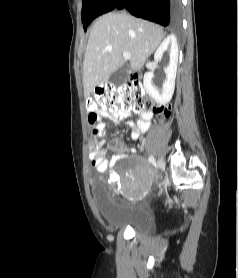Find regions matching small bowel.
Here are the masks:
<instances>
[{
    "label": "small bowel",
    "mask_w": 238,
    "mask_h": 278,
    "mask_svg": "<svg viewBox=\"0 0 238 278\" xmlns=\"http://www.w3.org/2000/svg\"><path fill=\"white\" fill-rule=\"evenodd\" d=\"M101 115L111 120H125L131 129V138L134 140L139 139L142 134H145L151 125L150 112L140 114L137 120H130V112L122 109H117L113 112L104 111ZM105 125V122H101L96 126L97 133L93 135L92 149L90 152L92 165L98 172H105L113 167L119 159L127 157L134 152V149L129 147L125 141L120 142L114 140L111 143V147L118 153L110 158H106L102 148L105 139L108 137L105 131Z\"/></svg>",
    "instance_id": "obj_1"
}]
</instances>
